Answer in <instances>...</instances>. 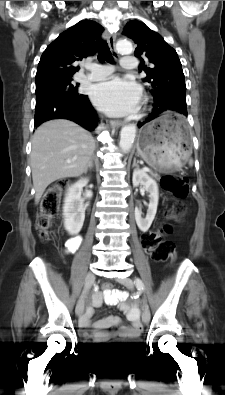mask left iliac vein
<instances>
[{"label":"left iliac vein","instance_id":"1","mask_svg":"<svg viewBox=\"0 0 225 395\" xmlns=\"http://www.w3.org/2000/svg\"><path fill=\"white\" fill-rule=\"evenodd\" d=\"M119 282L124 285L125 287H127L128 289H133L134 288V282L131 278L126 277L123 279H120ZM142 321L147 324L150 320V311L149 308L147 306V304L143 301V305H142Z\"/></svg>","mask_w":225,"mask_h":395}]
</instances>
